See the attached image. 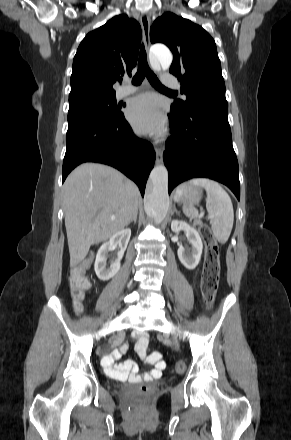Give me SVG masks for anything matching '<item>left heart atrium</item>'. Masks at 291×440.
<instances>
[{"label":"left heart atrium","instance_id":"39dd6f15","mask_svg":"<svg viewBox=\"0 0 291 440\" xmlns=\"http://www.w3.org/2000/svg\"><path fill=\"white\" fill-rule=\"evenodd\" d=\"M127 119L141 133H154L160 130L163 117L157 109L153 97L143 95L133 99L126 111Z\"/></svg>","mask_w":291,"mask_h":440}]
</instances>
